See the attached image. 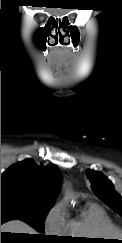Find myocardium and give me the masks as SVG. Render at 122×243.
Returning a JSON list of instances; mask_svg holds the SVG:
<instances>
[{"label":"myocardium","instance_id":"obj_1","mask_svg":"<svg viewBox=\"0 0 122 243\" xmlns=\"http://www.w3.org/2000/svg\"><path fill=\"white\" fill-rule=\"evenodd\" d=\"M114 234H115V236L118 235V231L116 230Z\"/></svg>","mask_w":122,"mask_h":243}]
</instances>
